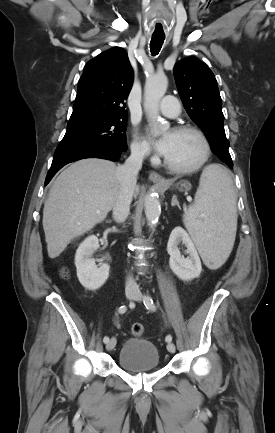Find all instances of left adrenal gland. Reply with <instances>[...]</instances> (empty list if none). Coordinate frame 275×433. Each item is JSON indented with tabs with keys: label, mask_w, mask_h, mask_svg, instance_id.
<instances>
[{
	"label": "left adrenal gland",
	"mask_w": 275,
	"mask_h": 433,
	"mask_svg": "<svg viewBox=\"0 0 275 433\" xmlns=\"http://www.w3.org/2000/svg\"><path fill=\"white\" fill-rule=\"evenodd\" d=\"M171 206H178L180 208L176 195H173L172 197Z\"/></svg>",
	"instance_id": "a2214340"
}]
</instances>
